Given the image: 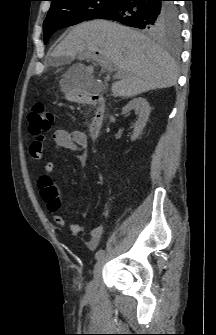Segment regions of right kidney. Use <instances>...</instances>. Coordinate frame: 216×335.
Here are the masks:
<instances>
[{"label":"right kidney","mask_w":216,"mask_h":335,"mask_svg":"<svg viewBox=\"0 0 216 335\" xmlns=\"http://www.w3.org/2000/svg\"><path fill=\"white\" fill-rule=\"evenodd\" d=\"M133 109L135 110L138 118L136 123L134 124V132L131 136V141H135L142 133L146 122L148 121L151 110L149 103L143 97H138L131 100L125 107H123L122 113L127 114Z\"/></svg>","instance_id":"ca27d5eb"}]
</instances>
